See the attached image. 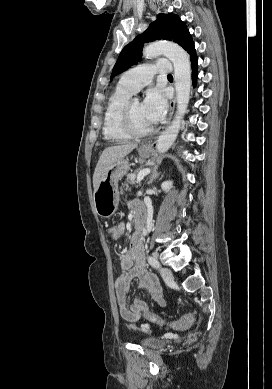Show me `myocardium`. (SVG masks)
<instances>
[{
    "instance_id": "myocardium-1",
    "label": "myocardium",
    "mask_w": 272,
    "mask_h": 389,
    "mask_svg": "<svg viewBox=\"0 0 272 389\" xmlns=\"http://www.w3.org/2000/svg\"><path fill=\"white\" fill-rule=\"evenodd\" d=\"M136 99H129L125 106L123 107V110L121 112L120 116V122L121 126L124 129V131L130 135L131 137L135 138H142L146 137L154 132V127L151 126L150 128L146 130H138L133 122L132 118V104Z\"/></svg>"
}]
</instances>
